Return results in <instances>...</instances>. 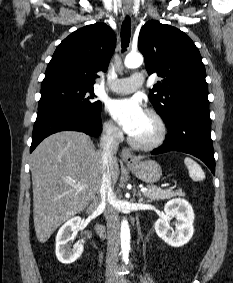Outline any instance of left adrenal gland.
I'll list each match as a JSON object with an SVG mask.
<instances>
[{"mask_svg": "<svg viewBox=\"0 0 233 283\" xmlns=\"http://www.w3.org/2000/svg\"><path fill=\"white\" fill-rule=\"evenodd\" d=\"M138 196H139V202L143 201V198H141V194L138 192Z\"/></svg>", "mask_w": 233, "mask_h": 283, "instance_id": "a2214340", "label": "left adrenal gland"}]
</instances>
